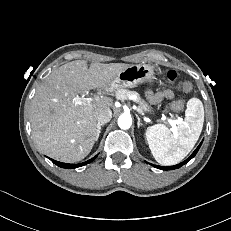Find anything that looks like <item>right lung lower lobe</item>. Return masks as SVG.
<instances>
[{
	"label": "right lung lower lobe",
	"instance_id": "1",
	"mask_svg": "<svg viewBox=\"0 0 231 231\" xmlns=\"http://www.w3.org/2000/svg\"><path fill=\"white\" fill-rule=\"evenodd\" d=\"M96 157H97V155H96L94 158H92V159H90V160H88V161H86V162H84V163H80V164H68V163L58 162V161H55V160H53V159H50V160H51L54 164H56L57 166H59V167H61V168L72 169V168H77V167H81V166H83V165H86V164L92 162Z\"/></svg>",
	"mask_w": 231,
	"mask_h": 231
}]
</instances>
